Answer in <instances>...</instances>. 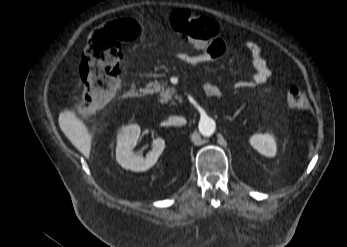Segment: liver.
<instances>
[{"label":"liver","mask_w":347,"mask_h":247,"mask_svg":"<svg viewBox=\"0 0 347 247\" xmlns=\"http://www.w3.org/2000/svg\"><path fill=\"white\" fill-rule=\"evenodd\" d=\"M59 121L62 130L70 136L75 147L88 158L91 150L92 135L88 132L85 124L72 111L61 113Z\"/></svg>","instance_id":"1"}]
</instances>
